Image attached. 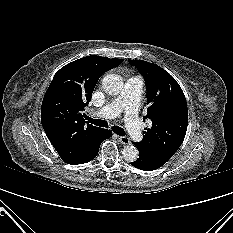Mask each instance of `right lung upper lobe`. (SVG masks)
I'll list each match as a JSON object with an SVG mask.
<instances>
[{
	"mask_svg": "<svg viewBox=\"0 0 233 233\" xmlns=\"http://www.w3.org/2000/svg\"><path fill=\"white\" fill-rule=\"evenodd\" d=\"M123 59L87 56L62 67L53 77L41 106L42 126L61 159L80 157L102 128L86 124L82 111L100 76Z\"/></svg>",
	"mask_w": 233,
	"mask_h": 233,
	"instance_id": "obj_1",
	"label": "right lung upper lobe"
}]
</instances>
